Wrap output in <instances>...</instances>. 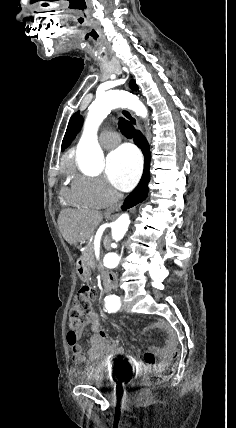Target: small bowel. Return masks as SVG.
<instances>
[{"instance_id":"c3829d8e","label":"small bowel","mask_w":236,"mask_h":428,"mask_svg":"<svg viewBox=\"0 0 236 428\" xmlns=\"http://www.w3.org/2000/svg\"><path fill=\"white\" fill-rule=\"evenodd\" d=\"M86 324L91 326L93 335L90 339V347L87 352V359L90 361L111 360L115 357H126L127 362L136 369L156 368L161 366L167 355L170 342L173 340L174 332L166 321H160L158 326L167 333L168 344L166 346H153L143 356V361H139L132 355H127L124 348L117 341L109 338L107 332L100 327V321L97 314L90 310L87 320L76 330V338L81 334ZM73 360L77 363L85 358L82 355L81 348L76 344L71 346Z\"/></svg>"}]
</instances>
